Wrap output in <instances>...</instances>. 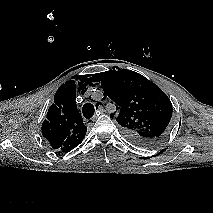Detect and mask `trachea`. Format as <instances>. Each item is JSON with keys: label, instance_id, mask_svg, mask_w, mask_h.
<instances>
[{"label": "trachea", "instance_id": "3493384b", "mask_svg": "<svg viewBox=\"0 0 213 213\" xmlns=\"http://www.w3.org/2000/svg\"><path fill=\"white\" fill-rule=\"evenodd\" d=\"M95 112V108L92 104L86 103L83 105L82 113L86 119H90Z\"/></svg>", "mask_w": 213, "mask_h": 213}]
</instances>
